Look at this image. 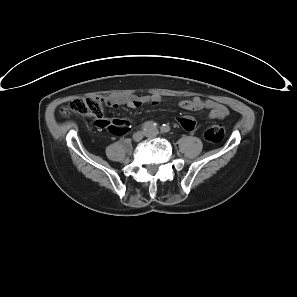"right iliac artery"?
<instances>
[{
	"instance_id": "82829eb1",
	"label": "right iliac artery",
	"mask_w": 297,
	"mask_h": 297,
	"mask_svg": "<svg viewBox=\"0 0 297 297\" xmlns=\"http://www.w3.org/2000/svg\"><path fill=\"white\" fill-rule=\"evenodd\" d=\"M157 127V123L153 122V121H147L142 125V129L144 130H150V129H154Z\"/></svg>"
}]
</instances>
